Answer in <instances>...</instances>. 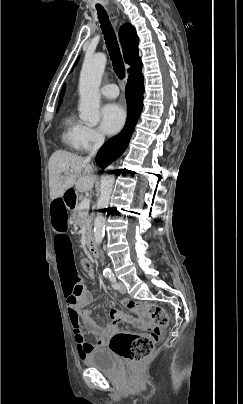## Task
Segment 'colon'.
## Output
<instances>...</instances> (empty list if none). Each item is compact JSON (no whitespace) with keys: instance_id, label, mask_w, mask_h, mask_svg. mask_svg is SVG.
<instances>
[{"instance_id":"5ec220e1","label":"colon","mask_w":243,"mask_h":404,"mask_svg":"<svg viewBox=\"0 0 243 404\" xmlns=\"http://www.w3.org/2000/svg\"><path fill=\"white\" fill-rule=\"evenodd\" d=\"M80 265L84 271L91 270V262L86 258L81 259ZM122 305L135 312L148 313L156 325L149 334L120 331L110 339L109 346L112 351L130 362L139 363L153 353L160 337V327L168 324L169 317L163 307L153 303L124 299Z\"/></svg>"}]
</instances>
